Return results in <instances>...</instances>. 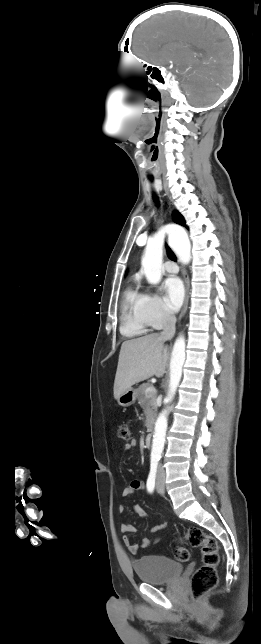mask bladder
Here are the masks:
<instances>
[{"mask_svg":"<svg viewBox=\"0 0 261 644\" xmlns=\"http://www.w3.org/2000/svg\"><path fill=\"white\" fill-rule=\"evenodd\" d=\"M133 569L142 582L159 585L178 578L183 571V566L164 556L146 555L134 560Z\"/></svg>","mask_w":261,"mask_h":644,"instance_id":"31cf9c89","label":"bladder"}]
</instances>
